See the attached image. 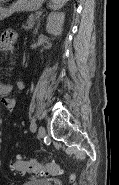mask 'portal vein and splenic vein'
<instances>
[{"mask_svg": "<svg viewBox=\"0 0 119 185\" xmlns=\"http://www.w3.org/2000/svg\"><path fill=\"white\" fill-rule=\"evenodd\" d=\"M37 15L40 16L41 15V12H37Z\"/></svg>", "mask_w": 119, "mask_h": 185, "instance_id": "obj_1", "label": "portal vein and splenic vein"}]
</instances>
